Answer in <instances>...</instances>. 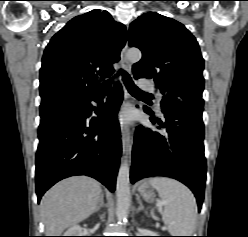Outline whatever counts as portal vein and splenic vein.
<instances>
[{"label":"portal vein and splenic vein","instance_id":"portal-vein-and-splenic-vein-1","mask_svg":"<svg viewBox=\"0 0 248 237\" xmlns=\"http://www.w3.org/2000/svg\"><path fill=\"white\" fill-rule=\"evenodd\" d=\"M162 204H163L162 202H159V208H160V209H161Z\"/></svg>","mask_w":248,"mask_h":237}]
</instances>
